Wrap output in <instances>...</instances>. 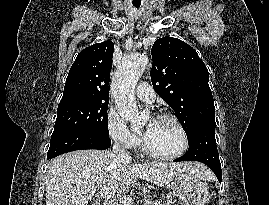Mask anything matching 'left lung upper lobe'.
<instances>
[{"instance_id": "obj_1", "label": "left lung upper lobe", "mask_w": 269, "mask_h": 205, "mask_svg": "<svg viewBox=\"0 0 269 205\" xmlns=\"http://www.w3.org/2000/svg\"><path fill=\"white\" fill-rule=\"evenodd\" d=\"M150 72L155 91L175 111L188 140L204 127H215V107L209 74L197 52L169 36L151 49Z\"/></svg>"}]
</instances>
